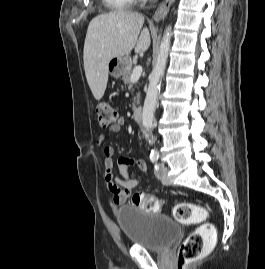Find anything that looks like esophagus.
I'll use <instances>...</instances> for the list:
<instances>
[{
    "label": "esophagus",
    "instance_id": "1",
    "mask_svg": "<svg viewBox=\"0 0 265 269\" xmlns=\"http://www.w3.org/2000/svg\"><path fill=\"white\" fill-rule=\"evenodd\" d=\"M173 2L174 0H164L160 7L155 11L153 19L155 21H160L161 19H163L168 14Z\"/></svg>",
    "mask_w": 265,
    "mask_h": 269
}]
</instances>
